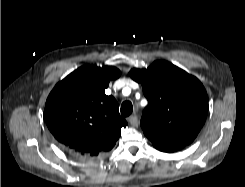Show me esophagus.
Returning <instances> with one entry per match:
<instances>
[{"mask_svg": "<svg viewBox=\"0 0 245 187\" xmlns=\"http://www.w3.org/2000/svg\"><path fill=\"white\" fill-rule=\"evenodd\" d=\"M128 122L130 125L137 127L138 126V117L136 115H132L128 118Z\"/></svg>", "mask_w": 245, "mask_h": 187, "instance_id": "34e87169", "label": "esophagus"}]
</instances>
